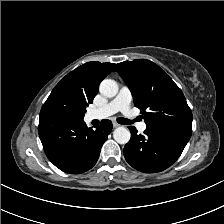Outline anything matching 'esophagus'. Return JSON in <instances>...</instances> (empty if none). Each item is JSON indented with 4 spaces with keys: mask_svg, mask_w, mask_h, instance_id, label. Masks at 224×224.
Returning <instances> with one entry per match:
<instances>
[{
    "mask_svg": "<svg viewBox=\"0 0 224 224\" xmlns=\"http://www.w3.org/2000/svg\"><path fill=\"white\" fill-rule=\"evenodd\" d=\"M112 124H113V127H114V128H116V127H119V126H120V124H118V123H117V122H115V121H113V123H112Z\"/></svg>",
    "mask_w": 224,
    "mask_h": 224,
    "instance_id": "obj_1",
    "label": "esophagus"
}]
</instances>
